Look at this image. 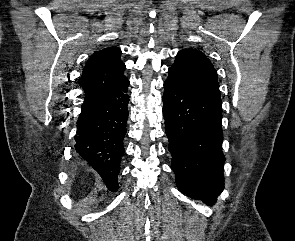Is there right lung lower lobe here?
<instances>
[{"mask_svg":"<svg viewBox=\"0 0 295 241\" xmlns=\"http://www.w3.org/2000/svg\"><path fill=\"white\" fill-rule=\"evenodd\" d=\"M129 81L87 94L77 120L76 151L101 175L108 189L118 190L117 175L124 154Z\"/></svg>","mask_w":295,"mask_h":241,"instance_id":"1","label":"right lung lower lobe"}]
</instances>
